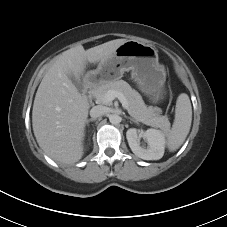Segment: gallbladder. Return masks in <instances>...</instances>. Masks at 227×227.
I'll list each match as a JSON object with an SVG mask.
<instances>
[{
  "instance_id": "gallbladder-1",
  "label": "gallbladder",
  "mask_w": 227,
  "mask_h": 227,
  "mask_svg": "<svg viewBox=\"0 0 227 227\" xmlns=\"http://www.w3.org/2000/svg\"><path fill=\"white\" fill-rule=\"evenodd\" d=\"M69 78L71 79L72 83L78 89V91H83V85L79 79H77L74 75H70Z\"/></svg>"
}]
</instances>
